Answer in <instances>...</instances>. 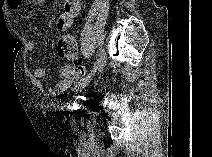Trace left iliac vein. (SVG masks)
I'll return each mask as SVG.
<instances>
[{
    "label": "left iliac vein",
    "instance_id": "4c4485c4",
    "mask_svg": "<svg viewBox=\"0 0 212 157\" xmlns=\"http://www.w3.org/2000/svg\"><path fill=\"white\" fill-rule=\"evenodd\" d=\"M104 67H105V65H103V66H101V67L95 66V67L92 69V71L88 74V78L85 79V80H83V81H81L80 83H78V84L75 86L74 90H75L76 92H78V91H80L81 89H83L85 86H87V85L92 81V79L95 77L96 72H97V71H98V72H102L103 69H104Z\"/></svg>",
    "mask_w": 212,
    "mask_h": 157
}]
</instances>
